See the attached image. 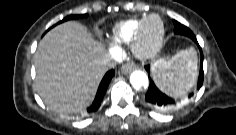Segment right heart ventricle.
Wrapping results in <instances>:
<instances>
[{
	"label": "right heart ventricle",
	"mask_w": 236,
	"mask_h": 135,
	"mask_svg": "<svg viewBox=\"0 0 236 135\" xmlns=\"http://www.w3.org/2000/svg\"><path fill=\"white\" fill-rule=\"evenodd\" d=\"M145 17L130 18L116 23L111 29L110 39L117 45L130 44Z\"/></svg>",
	"instance_id": "1"
}]
</instances>
